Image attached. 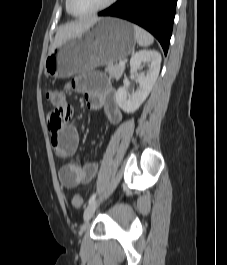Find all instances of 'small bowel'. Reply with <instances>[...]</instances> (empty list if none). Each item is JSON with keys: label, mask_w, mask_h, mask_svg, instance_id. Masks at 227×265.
Wrapping results in <instances>:
<instances>
[{"label": "small bowel", "mask_w": 227, "mask_h": 265, "mask_svg": "<svg viewBox=\"0 0 227 265\" xmlns=\"http://www.w3.org/2000/svg\"><path fill=\"white\" fill-rule=\"evenodd\" d=\"M71 88L84 95L88 109L103 110L111 124H120L123 113L115 99V91L104 72H84L82 77L72 81ZM79 135L73 125H67L56 134H52L51 145L55 155L61 159L71 158L78 147ZM98 165L95 162L79 164L69 162L59 173L61 184L68 189L90 182L96 175Z\"/></svg>", "instance_id": "1"}]
</instances>
